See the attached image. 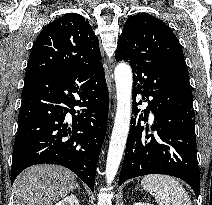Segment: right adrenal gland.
I'll use <instances>...</instances> for the list:
<instances>
[{"instance_id": "obj_1", "label": "right adrenal gland", "mask_w": 212, "mask_h": 205, "mask_svg": "<svg viewBox=\"0 0 212 205\" xmlns=\"http://www.w3.org/2000/svg\"><path fill=\"white\" fill-rule=\"evenodd\" d=\"M75 188H78L80 190L79 184L76 183Z\"/></svg>"}]
</instances>
